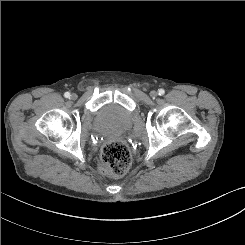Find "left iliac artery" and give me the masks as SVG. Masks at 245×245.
<instances>
[{
	"mask_svg": "<svg viewBox=\"0 0 245 245\" xmlns=\"http://www.w3.org/2000/svg\"><path fill=\"white\" fill-rule=\"evenodd\" d=\"M158 93H159V95H164L165 91H164V89L161 88L158 90Z\"/></svg>",
	"mask_w": 245,
	"mask_h": 245,
	"instance_id": "obj_1",
	"label": "left iliac artery"
}]
</instances>
